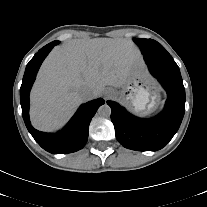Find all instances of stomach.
<instances>
[{"label": "stomach", "instance_id": "stomach-1", "mask_svg": "<svg viewBox=\"0 0 207 207\" xmlns=\"http://www.w3.org/2000/svg\"><path fill=\"white\" fill-rule=\"evenodd\" d=\"M144 67L136 62L130 74L119 91H113L115 97L130 102L137 113L147 114L157 108L160 103V91L156 87L143 83ZM146 86V87H145Z\"/></svg>", "mask_w": 207, "mask_h": 207}]
</instances>
